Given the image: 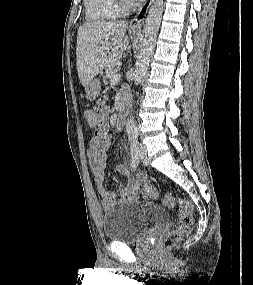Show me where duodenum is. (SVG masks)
<instances>
[{"mask_svg": "<svg viewBox=\"0 0 253 285\" xmlns=\"http://www.w3.org/2000/svg\"><path fill=\"white\" fill-rule=\"evenodd\" d=\"M128 113V100L124 98L118 105L116 116V127L121 128L124 125Z\"/></svg>", "mask_w": 253, "mask_h": 285, "instance_id": "410a0bca", "label": "duodenum"}]
</instances>
